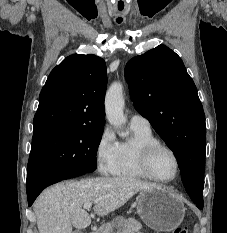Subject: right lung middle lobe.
<instances>
[{"mask_svg": "<svg viewBox=\"0 0 227 233\" xmlns=\"http://www.w3.org/2000/svg\"><path fill=\"white\" fill-rule=\"evenodd\" d=\"M103 126H63L34 133L26 185L42 176L68 172H93Z\"/></svg>", "mask_w": 227, "mask_h": 233, "instance_id": "right-lung-middle-lobe-1", "label": "right lung middle lobe"}]
</instances>
